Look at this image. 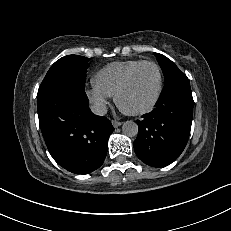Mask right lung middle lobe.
I'll use <instances>...</instances> for the list:
<instances>
[{"instance_id": "right-lung-middle-lobe-1", "label": "right lung middle lobe", "mask_w": 231, "mask_h": 231, "mask_svg": "<svg viewBox=\"0 0 231 231\" xmlns=\"http://www.w3.org/2000/svg\"><path fill=\"white\" fill-rule=\"evenodd\" d=\"M88 58L78 55H68L56 61L43 79L38 94L46 89L67 81H73L85 86Z\"/></svg>"}]
</instances>
